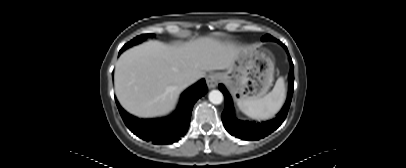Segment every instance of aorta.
Here are the masks:
<instances>
[{"label": "aorta", "mask_w": 406, "mask_h": 168, "mask_svg": "<svg viewBox=\"0 0 406 168\" xmlns=\"http://www.w3.org/2000/svg\"><path fill=\"white\" fill-rule=\"evenodd\" d=\"M209 101L213 104H221L223 102V94L219 90H212L208 95Z\"/></svg>", "instance_id": "aorta-1"}]
</instances>
